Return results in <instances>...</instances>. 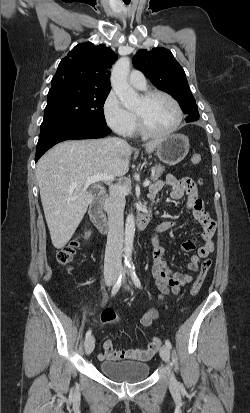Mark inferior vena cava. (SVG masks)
<instances>
[{"mask_svg": "<svg viewBox=\"0 0 250 413\" xmlns=\"http://www.w3.org/2000/svg\"><path fill=\"white\" fill-rule=\"evenodd\" d=\"M105 204L108 213V236L105 251V268L121 267L123 245L124 200L118 185H111Z\"/></svg>", "mask_w": 250, "mask_h": 413, "instance_id": "602c4592", "label": "inferior vena cava"}]
</instances>
